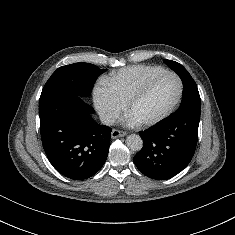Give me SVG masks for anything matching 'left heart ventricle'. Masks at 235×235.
Segmentation results:
<instances>
[{
    "label": "left heart ventricle",
    "instance_id": "obj_1",
    "mask_svg": "<svg viewBox=\"0 0 235 235\" xmlns=\"http://www.w3.org/2000/svg\"><path fill=\"white\" fill-rule=\"evenodd\" d=\"M178 83L171 76H164L150 86L147 93L131 109L130 117L135 121H146L164 113L174 102Z\"/></svg>",
    "mask_w": 235,
    "mask_h": 235
}]
</instances>
